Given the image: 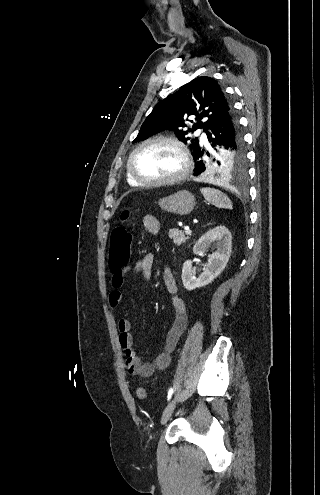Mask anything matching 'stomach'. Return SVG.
Here are the masks:
<instances>
[{
  "label": "stomach",
  "mask_w": 320,
  "mask_h": 495,
  "mask_svg": "<svg viewBox=\"0 0 320 495\" xmlns=\"http://www.w3.org/2000/svg\"><path fill=\"white\" fill-rule=\"evenodd\" d=\"M158 205L164 211L178 214H190L195 206V198L192 193L186 190L164 197L158 201Z\"/></svg>",
  "instance_id": "stomach-1"
}]
</instances>
